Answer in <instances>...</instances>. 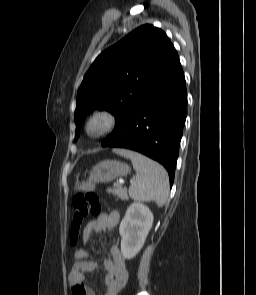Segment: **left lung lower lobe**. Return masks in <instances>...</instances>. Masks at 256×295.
I'll use <instances>...</instances> for the list:
<instances>
[{
  "instance_id": "left-lung-lower-lobe-1",
  "label": "left lung lower lobe",
  "mask_w": 256,
  "mask_h": 295,
  "mask_svg": "<svg viewBox=\"0 0 256 295\" xmlns=\"http://www.w3.org/2000/svg\"><path fill=\"white\" fill-rule=\"evenodd\" d=\"M186 116L187 91L180 64L101 146L134 150L158 161L167 169L172 186Z\"/></svg>"
}]
</instances>
